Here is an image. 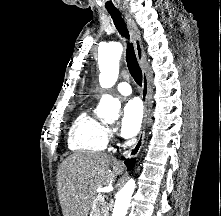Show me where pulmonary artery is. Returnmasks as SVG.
I'll list each match as a JSON object with an SVG mask.
<instances>
[{
    "label": "pulmonary artery",
    "mask_w": 221,
    "mask_h": 216,
    "mask_svg": "<svg viewBox=\"0 0 221 216\" xmlns=\"http://www.w3.org/2000/svg\"><path fill=\"white\" fill-rule=\"evenodd\" d=\"M117 91L122 95H130L132 93V89L129 83L127 82H120L116 86Z\"/></svg>",
    "instance_id": "obj_1"
}]
</instances>
